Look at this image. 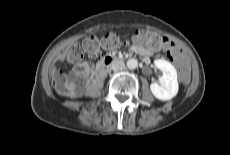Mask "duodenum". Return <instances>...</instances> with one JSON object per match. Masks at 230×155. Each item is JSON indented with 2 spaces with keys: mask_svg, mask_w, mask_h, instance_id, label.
<instances>
[{
  "mask_svg": "<svg viewBox=\"0 0 230 155\" xmlns=\"http://www.w3.org/2000/svg\"><path fill=\"white\" fill-rule=\"evenodd\" d=\"M121 60V58L113 55H105L101 60L97 63L93 78L99 76L102 74L109 66H111L114 63H117Z\"/></svg>",
  "mask_w": 230,
  "mask_h": 155,
  "instance_id": "obj_1",
  "label": "duodenum"
}]
</instances>
